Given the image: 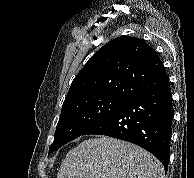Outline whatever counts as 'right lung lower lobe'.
<instances>
[{
    "label": "right lung lower lobe",
    "mask_w": 194,
    "mask_h": 178,
    "mask_svg": "<svg viewBox=\"0 0 194 178\" xmlns=\"http://www.w3.org/2000/svg\"><path fill=\"white\" fill-rule=\"evenodd\" d=\"M173 117L168 82L126 100L83 135H106L139 145L158 158L167 171Z\"/></svg>",
    "instance_id": "obj_1"
}]
</instances>
